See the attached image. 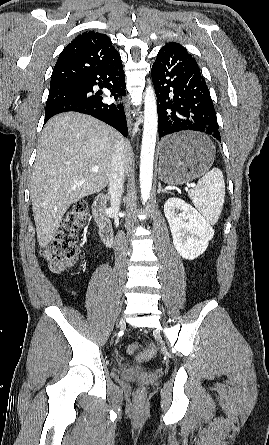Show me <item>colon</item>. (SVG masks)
<instances>
[{
  "mask_svg": "<svg viewBox=\"0 0 269 445\" xmlns=\"http://www.w3.org/2000/svg\"><path fill=\"white\" fill-rule=\"evenodd\" d=\"M87 204L80 200L66 212L62 223L49 245L41 251L42 257L55 270L71 267L78 258V234L86 219ZM129 353L138 360H148L155 354V347L149 344L143 349L136 346L129 348Z\"/></svg>",
  "mask_w": 269,
  "mask_h": 445,
  "instance_id": "5ec220e1",
  "label": "colon"
}]
</instances>
